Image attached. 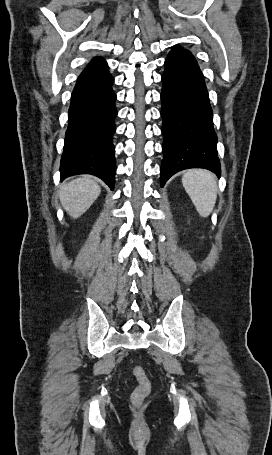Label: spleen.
Here are the masks:
<instances>
[{
  "mask_svg": "<svg viewBox=\"0 0 272 455\" xmlns=\"http://www.w3.org/2000/svg\"><path fill=\"white\" fill-rule=\"evenodd\" d=\"M182 184L199 215L208 217L217 199L218 188L214 174L203 169L189 170L183 175Z\"/></svg>",
  "mask_w": 272,
  "mask_h": 455,
  "instance_id": "spleen-1",
  "label": "spleen"
}]
</instances>
